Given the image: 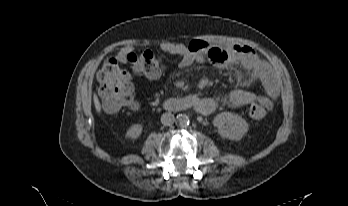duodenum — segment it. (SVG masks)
Returning <instances> with one entry per match:
<instances>
[{
  "instance_id": "obj_1",
  "label": "duodenum",
  "mask_w": 348,
  "mask_h": 206,
  "mask_svg": "<svg viewBox=\"0 0 348 206\" xmlns=\"http://www.w3.org/2000/svg\"><path fill=\"white\" fill-rule=\"evenodd\" d=\"M169 109H192L199 114H206L210 112L213 108V104L210 100L200 97L196 94L189 95L185 98L169 101L166 104Z\"/></svg>"
}]
</instances>
